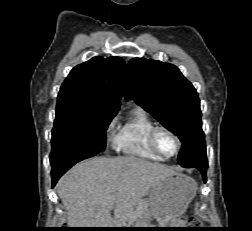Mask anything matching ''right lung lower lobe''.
Listing matches in <instances>:
<instances>
[{"label":"right lung lower lobe","mask_w":252,"mask_h":231,"mask_svg":"<svg viewBox=\"0 0 252 231\" xmlns=\"http://www.w3.org/2000/svg\"><path fill=\"white\" fill-rule=\"evenodd\" d=\"M95 156V154L79 155L74 156L56 164L51 165V175H52V187L55 186L58 179L74 164L77 162Z\"/></svg>","instance_id":"obj_1"}]
</instances>
